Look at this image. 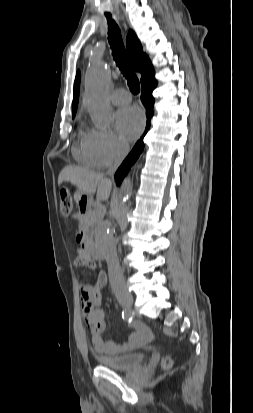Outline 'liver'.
<instances>
[{"label": "liver", "instance_id": "6515ba94", "mask_svg": "<svg viewBox=\"0 0 253 413\" xmlns=\"http://www.w3.org/2000/svg\"><path fill=\"white\" fill-rule=\"evenodd\" d=\"M70 182L82 192L92 195L97 191V201H106L111 193L112 182L102 174L77 166H66L58 177V185Z\"/></svg>", "mask_w": 253, "mask_h": 413}]
</instances>
